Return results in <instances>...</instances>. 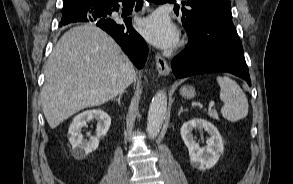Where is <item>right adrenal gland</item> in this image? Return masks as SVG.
<instances>
[{
    "label": "right adrenal gland",
    "instance_id": "obj_1",
    "mask_svg": "<svg viewBox=\"0 0 293 184\" xmlns=\"http://www.w3.org/2000/svg\"><path fill=\"white\" fill-rule=\"evenodd\" d=\"M123 93L119 94V97L117 99H114V101L116 100L118 102L119 105H121V97H122Z\"/></svg>",
    "mask_w": 293,
    "mask_h": 184
}]
</instances>
